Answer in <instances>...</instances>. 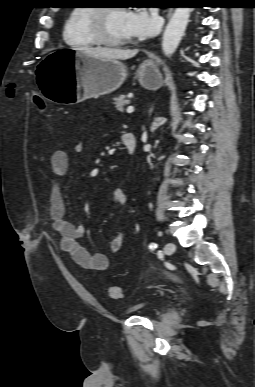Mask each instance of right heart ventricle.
I'll return each instance as SVG.
<instances>
[{
  "instance_id": "right-heart-ventricle-1",
  "label": "right heart ventricle",
  "mask_w": 255,
  "mask_h": 387,
  "mask_svg": "<svg viewBox=\"0 0 255 387\" xmlns=\"http://www.w3.org/2000/svg\"><path fill=\"white\" fill-rule=\"evenodd\" d=\"M89 6L74 7L63 27V39L71 47L82 49L98 45L89 28Z\"/></svg>"
}]
</instances>
